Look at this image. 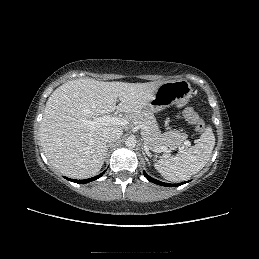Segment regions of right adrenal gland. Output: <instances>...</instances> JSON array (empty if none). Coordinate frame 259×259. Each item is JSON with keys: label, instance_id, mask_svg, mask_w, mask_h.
<instances>
[{"label": "right adrenal gland", "instance_id": "right-adrenal-gland-1", "mask_svg": "<svg viewBox=\"0 0 259 259\" xmlns=\"http://www.w3.org/2000/svg\"><path fill=\"white\" fill-rule=\"evenodd\" d=\"M110 146H111V144H108V145H107L106 155H107V153H108V149H109Z\"/></svg>", "mask_w": 259, "mask_h": 259}]
</instances>
